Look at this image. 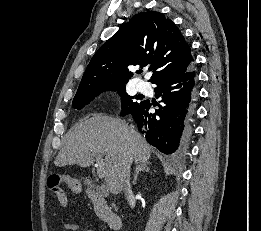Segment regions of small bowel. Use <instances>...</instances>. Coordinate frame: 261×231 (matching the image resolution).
Masks as SVG:
<instances>
[{
    "label": "small bowel",
    "mask_w": 261,
    "mask_h": 231,
    "mask_svg": "<svg viewBox=\"0 0 261 231\" xmlns=\"http://www.w3.org/2000/svg\"><path fill=\"white\" fill-rule=\"evenodd\" d=\"M59 201L63 206L67 205V200L63 195L59 196ZM64 229L66 231H77L78 230V226L75 223H66L64 224ZM86 231H93V230H86Z\"/></svg>",
    "instance_id": "small-bowel-1"
}]
</instances>
